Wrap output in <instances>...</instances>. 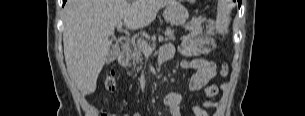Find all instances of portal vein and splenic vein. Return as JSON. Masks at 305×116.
<instances>
[{
    "mask_svg": "<svg viewBox=\"0 0 305 116\" xmlns=\"http://www.w3.org/2000/svg\"><path fill=\"white\" fill-rule=\"evenodd\" d=\"M116 26H117V29H118V30H121V28H122V22H121V21L118 22V23L116 24ZM158 41H159V42H162V41H163V37H162V36H159V37H158ZM126 44H129V41H126ZM154 46H155V44H153V47H151V46H149L148 44H146V43H144V42H141V43H139L138 48H139L143 53L150 54V53H152Z\"/></svg>",
    "mask_w": 305,
    "mask_h": 116,
    "instance_id": "portal-vein-and-splenic-vein-1",
    "label": "portal vein and splenic vein"
}]
</instances>
